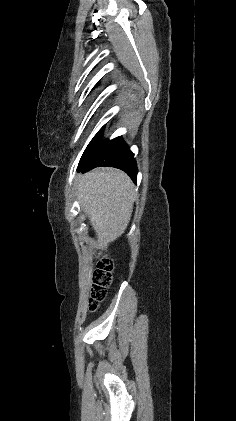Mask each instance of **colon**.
<instances>
[{
  "instance_id": "1",
  "label": "colon",
  "mask_w": 236,
  "mask_h": 421,
  "mask_svg": "<svg viewBox=\"0 0 236 421\" xmlns=\"http://www.w3.org/2000/svg\"><path fill=\"white\" fill-rule=\"evenodd\" d=\"M114 264L112 260L106 256L99 258L91 287V295L89 300V309L97 310L99 304L105 299L108 288L112 283Z\"/></svg>"
}]
</instances>
